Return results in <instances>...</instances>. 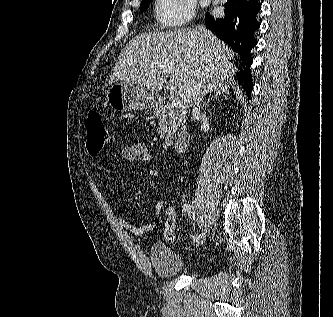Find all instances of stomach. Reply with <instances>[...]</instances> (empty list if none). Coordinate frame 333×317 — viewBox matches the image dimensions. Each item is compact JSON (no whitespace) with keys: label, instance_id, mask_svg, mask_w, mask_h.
Returning <instances> with one entry per match:
<instances>
[{"label":"stomach","instance_id":"0dacf381","mask_svg":"<svg viewBox=\"0 0 333 317\" xmlns=\"http://www.w3.org/2000/svg\"><path fill=\"white\" fill-rule=\"evenodd\" d=\"M106 97L109 105L120 112L143 110L156 105L153 94L126 80L114 83Z\"/></svg>","mask_w":333,"mask_h":317}]
</instances>
